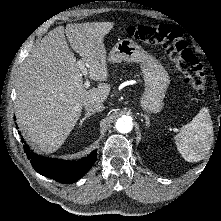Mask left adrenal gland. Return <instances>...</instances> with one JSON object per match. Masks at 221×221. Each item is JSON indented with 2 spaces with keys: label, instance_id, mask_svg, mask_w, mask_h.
<instances>
[{
  "label": "left adrenal gland",
  "instance_id": "left-adrenal-gland-1",
  "mask_svg": "<svg viewBox=\"0 0 221 221\" xmlns=\"http://www.w3.org/2000/svg\"><path fill=\"white\" fill-rule=\"evenodd\" d=\"M145 119H146V126L149 127L150 126L149 117L147 115H145Z\"/></svg>",
  "mask_w": 221,
  "mask_h": 221
}]
</instances>
